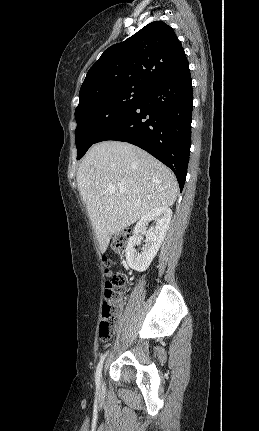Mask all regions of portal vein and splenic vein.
<instances>
[{
  "instance_id": "18ae733b",
  "label": "portal vein and splenic vein",
  "mask_w": 259,
  "mask_h": 431,
  "mask_svg": "<svg viewBox=\"0 0 259 431\" xmlns=\"http://www.w3.org/2000/svg\"><path fill=\"white\" fill-rule=\"evenodd\" d=\"M127 190H126V188H124V187H120V192L121 193H124V192H126Z\"/></svg>"
}]
</instances>
